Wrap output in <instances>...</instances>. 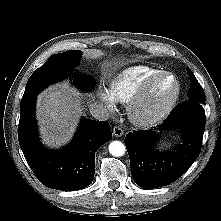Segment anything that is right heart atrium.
<instances>
[{"mask_svg":"<svg viewBox=\"0 0 221 221\" xmlns=\"http://www.w3.org/2000/svg\"><path fill=\"white\" fill-rule=\"evenodd\" d=\"M99 97L102 100V102L105 104V106L110 110H115V101L111 97L110 93L106 89H101L99 91Z\"/></svg>","mask_w":221,"mask_h":221,"instance_id":"1","label":"right heart atrium"}]
</instances>
